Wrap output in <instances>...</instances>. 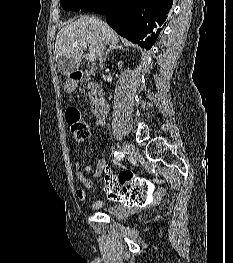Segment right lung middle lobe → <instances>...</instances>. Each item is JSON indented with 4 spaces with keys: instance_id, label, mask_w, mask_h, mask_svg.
Returning <instances> with one entry per match:
<instances>
[{
    "instance_id": "right-lung-middle-lobe-1",
    "label": "right lung middle lobe",
    "mask_w": 233,
    "mask_h": 263,
    "mask_svg": "<svg viewBox=\"0 0 233 263\" xmlns=\"http://www.w3.org/2000/svg\"><path fill=\"white\" fill-rule=\"evenodd\" d=\"M103 0H60L61 6L65 10L93 11Z\"/></svg>"
}]
</instances>
